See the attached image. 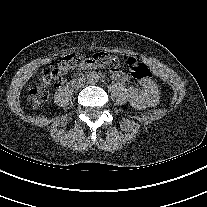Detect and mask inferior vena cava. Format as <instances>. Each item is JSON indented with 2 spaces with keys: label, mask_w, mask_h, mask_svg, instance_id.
<instances>
[{
  "label": "inferior vena cava",
  "mask_w": 207,
  "mask_h": 207,
  "mask_svg": "<svg viewBox=\"0 0 207 207\" xmlns=\"http://www.w3.org/2000/svg\"><path fill=\"white\" fill-rule=\"evenodd\" d=\"M84 83H85V81L82 79V78H80V79H78V81H73L72 82V86H79L80 85V87L81 86H84Z\"/></svg>",
  "instance_id": "1"
}]
</instances>
